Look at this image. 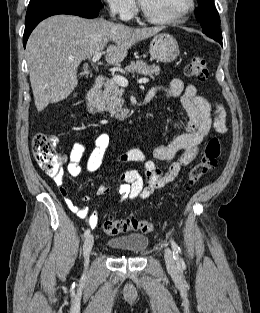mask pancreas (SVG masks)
<instances>
[{
    "mask_svg": "<svg viewBox=\"0 0 260 313\" xmlns=\"http://www.w3.org/2000/svg\"><path fill=\"white\" fill-rule=\"evenodd\" d=\"M129 73H138L140 75L154 78L159 75L160 67L156 65H147L143 61L132 62L125 67ZM99 106L102 110L110 113L111 116L119 120L128 117L129 110L124 106L123 89L115 82L114 79L107 81L105 89L98 96Z\"/></svg>",
    "mask_w": 260,
    "mask_h": 313,
    "instance_id": "cf45deb5",
    "label": "pancreas"
}]
</instances>
